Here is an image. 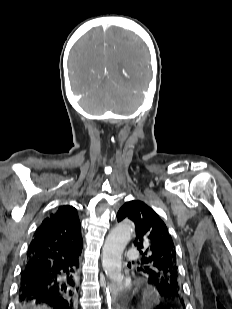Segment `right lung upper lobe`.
<instances>
[{
    "mask_svg": "<svg viewBox=\"0 0 232 309\" xmlns=\"http://www.w3.org/2000/svg\"><path fill=\"white\" fill-rule=\"evenodd\" d=\"M83 241L76 208L60 206L36 229L27 250V262L37 268L48 267L54 261H71L81 254Z\"/></svg>",
    "mask_w": 232,
    "mask_h": 309,
    "instance_id": "obj_1",
    "label": "right lung upper lobe"
}]
</instances>
